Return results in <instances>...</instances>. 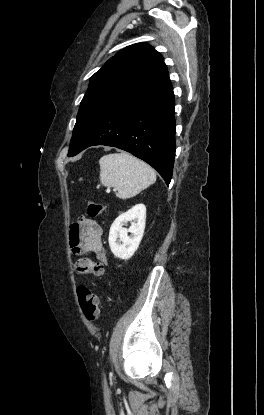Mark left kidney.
Masks as SVG:
<instances>
[{
  "mask_svg": "<svg viewBox=\"0 0 264 415\" xmlns=\"http://www.w3.org/2000/svg\"><path fill=\"white\" fill-rule=\"evenodd\" d=\"M131 221L129 228L123 227ZM146 221V207L137 204L120 214L110 227L109 245L115 257L127 260L133 256L142 240ZM128 233H131L128 236Z\"/></svg>",
  "mask_w": 264,
  "mask_h": 415,
  "instance_id": "5707ae66",
  "label": "left kidney"
}]
</instances>
